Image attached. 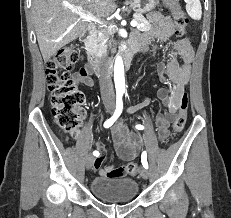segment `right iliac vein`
Returning a JSON list of instances; mask_svg holds the SVG:
<instances>
[{
  "instance_id": "1",
  "label": "right iliac vein",
  "mask_w": 231,
  "mask_h": 218,
  "mask_svg": "<svg viewBox=\"0 0 231 218\" xmlns=\"http://www.w3.org/2000/svg\"><path fill=\"white\" fill-rule=\"evenodd\" d=\"M107 112H111L113 110L112 106H107L106 107ZM94 156L92 154H88L86 157V168L90 169L94 163Z\"/></svg>"
}]
</instances>
